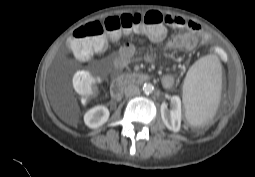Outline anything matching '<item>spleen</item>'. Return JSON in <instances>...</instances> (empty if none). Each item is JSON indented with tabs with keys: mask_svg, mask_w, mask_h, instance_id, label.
Here are the masks:
<instances>
[{
	"mask_svg": "<svg viewBox=\"0 0 255 177\" xmlns=\"http://www.w3.org/2000/svg\"><path fill=\"white\" fill-rule=\"evenodd\" d=\"M221 63L216 55H207L188 70L183 84L186 119L201 126L215 115L221 95Z\"/></svg>",
	"mask_w": 255,
	"mask_h": 177,
	"instance_id": "obj_1",
	"label": "spleen"
}]
</instances>
